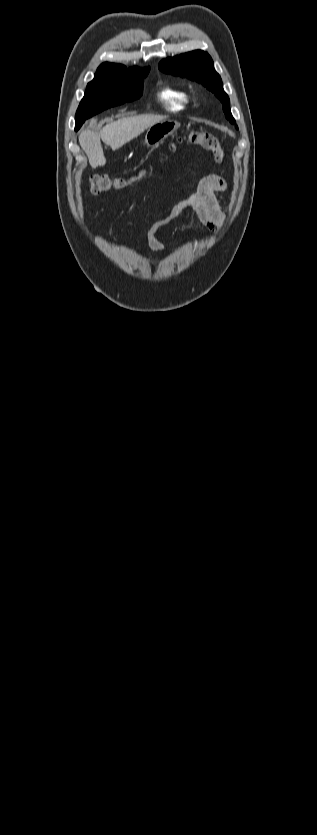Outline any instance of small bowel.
<instances>
[{"label":"small bowel","mask_w":317,"mask_h":835,"mask_svg":"<svg viewBox=\"0 0 317 835\" xmlns=\"http://www.w3.org/2000/svg\"><path fill=\"white\" fill-rule=\"evenodd\" d=\"M227 188V181L223 176L214 173L203 176L194 193L176 204L166 216L151 226L148 232L149 248L155 252L166 253V247L158 237V231L177 219L188 208L195 213L207 230L218 231L224 224L225 216L219 206L216 192L225 191Z\"/></svg>","instance_id":"obj_1"}]
</instances>
